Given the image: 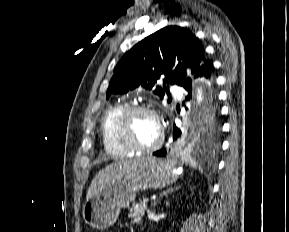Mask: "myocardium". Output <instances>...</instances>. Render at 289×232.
<instances>
[{
	"label": "myocardium",
	"mask_w": 289,
	"mask_h": 232,
	"mask_svg": "<svg viewBox=\"0 0 289 232\" xmlns=\"http://www.w3.org/2000/svg\"><path fill=\"white\" fill-rule=\"evenodd\" d=\"M139 113H144L152 116L157 121L160 128V136L157 142L151 146H140L133 141L129 132L130 119ZM115 136L118 142L132 153L150 154L157 151L163 144L164 132L161 119L158 113L151 107L145 105H132L125 107L117 117L115 123Z\"/></svg>",
	"instance_id": "myocardium-1"
}]
</instances>
